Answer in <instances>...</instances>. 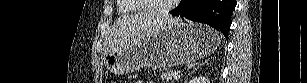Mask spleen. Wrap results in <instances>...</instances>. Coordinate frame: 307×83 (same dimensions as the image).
<instances>
[{
	"instance_id": "obj_1",
	"label": "spleen",
	"mask_w": 307,
	"mask_h": 83,
	"mask_svg": "<svg viewBox=\"0 0 307 83\" xmlns=\"http://www.w3.org/2000/svg\"><path fill=\"white\" fill-rule=\"evenodd\" d=\"M218 39L220 40L221 39V36L219 35Z\"/></svg>"
}]
</instances>
